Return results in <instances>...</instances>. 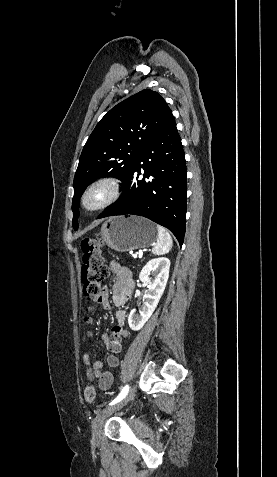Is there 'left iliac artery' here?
Returning <instances> with one entry per match:
<instances>
[{"label":"left iliac artery","instance_id":"left-iliac-artery-1","mask_svg":"<svg viewBox=\"0 0 277 477\" xmlns=\"http://www.w3.org/2000/svg\"><path fill=\"white\" fill-rule=\"evenodd\" d=\"M128 390H129V386L126 385L122 389L121 393L113 401H111L109 405H113V404L117 403L118 401H120L121 399H123L127 395Z\"/></svg>","mask_w":277,"mask_h":477}]
</instances>
